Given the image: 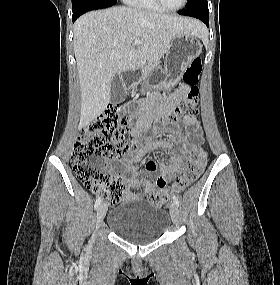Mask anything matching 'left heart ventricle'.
Masks as SVG:
<instances>
[{
  "mask_svg": "<svg viewBox=\"0 0 280 285\" xmlns=\"http://www.w3.org/2000/svg\"><path fill=\"white\" fill-rule=\"evenodd\" d=\"M162 1L169 8H176L182 2V0H162Z\"/></svg>",
  "mask_w": 280,
  "mask_h": 285,
  "instance_id": "obj_1",
  "label": "left heart ventricle"
}]
</instances>
